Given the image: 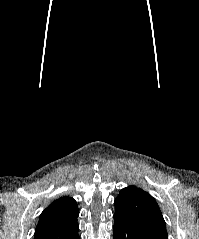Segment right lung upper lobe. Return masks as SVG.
Returning a JSON list of instances; mask_svg holds the SVG:
<instances>
[{
  "label": "right lung upper lobe",
  "instance_id": "obj_1",
  "mask_svg": "<svg viewBox=\"0 0 199 239\" xmlns=\"http://www.w3.org/2000/svg\"><path fill=\"white\" fill-rule=\"evenodd\" d=\"M79 210L73 198L62 197L52 202L40 215L38 228L57 226L77 218Z\"/></svg>",
  "mask_w": 199,
  "mask_h": 239
}]
</instances>
